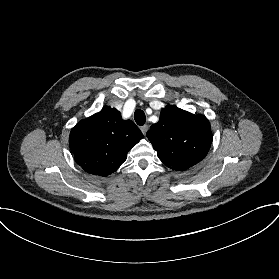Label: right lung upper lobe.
Returning <instances> with one entry per match:
<instances>
[{"mask_svg":"<svg viewBox=\"0 0 279 279\" xmlns=\"http://www.w3.org/2000/svg\"><path fill=\"white\" fill-rule=\"evenodd\" d=\"M143 138L131 121H123L114 108L80 121L71 131L69 142L75 161L86 172L107 176L126 160L128 151Z\"/></svg>","mask_w":279,"mask_h":279,"instance_id":"cb5924a9","label":"right lung upper lobe"}]
</instances>
